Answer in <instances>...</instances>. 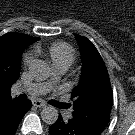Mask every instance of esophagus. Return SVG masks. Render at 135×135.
<instances>
[{"label": "esophagus", "instance_id": "34e87169", "mask_svg": "<svg viewBox=\"0 0 135 135\" xmlns=\"http://www.w3.org/2000/svg\"><path fill=\"white\" fill-rule=\"evenodd\" d=\"M33 105L35 107H40V108L46 107V103L44 101L38 100V99L33 101Z\"/></svg>", "mask_w": 135, "mask_h": 135}]
</instances>
